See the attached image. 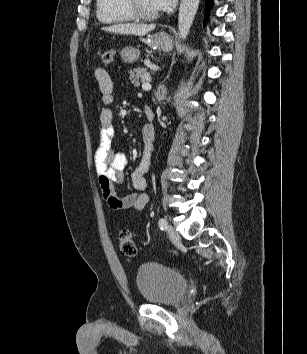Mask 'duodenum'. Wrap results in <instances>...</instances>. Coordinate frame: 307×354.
Instances as JSON below:
<instances>
[{
	"mask_svg": "<svg viewBox=\"0 0 307 354\" xmlns=\"http://www.w3.org/2000/svg\"><path fill=\"white\" fill-rule=\"evenodd\" d=\"M145 115H146L147 119L152 118V116H153L152 109H151V108H147V109L145 110Z\"/></svg>",
	"mask_w": 307,
	"mask_h": 354,
	"instance_id": "1",
	"label": "duodenum"
}]
</instances>
